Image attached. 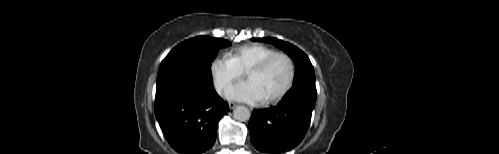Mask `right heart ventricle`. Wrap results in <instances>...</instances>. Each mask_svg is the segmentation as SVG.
<instances>
[{"mask_svg":"<svg viewBox=\"0 0 499 154\" xmlns=\"http://www.w3.org/2000/svg\"><path fill=\"white\" fill-rule=\"evenodd\" d=\"M274 52H276V50L267 45L249 43L229 51L227 57L231 59L241 71L245 72L252 65Z\"/></svg>","mask_w":499,"mask_h":154,"instance_id":"obj_1","label":"right heart ventricle"}]
</instances>
